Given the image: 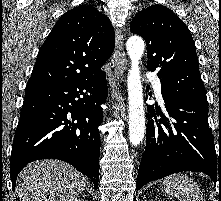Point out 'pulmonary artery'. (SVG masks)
<instances>
[{"label":"pulmonary artery","instance_id":"1","mask_svg":"<svg viewBox=\"0 0 221 201\" xmlns=\"http://www.w3.org/2000/svg\"><path fill=\"white\" fill-rule=\"evenodd\" d=\"M146 77L150 81H152V83L154 84L155 92H156L157 96L161 99L162 98V95H161V82L158 79V77L156 76V74L151 73V72H147Z\"/></svg>","mask_w":221,"mask_h":201}]
</instances>
